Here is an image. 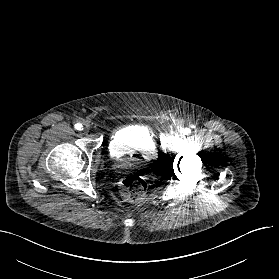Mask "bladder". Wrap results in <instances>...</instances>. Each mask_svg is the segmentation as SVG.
<instances>
[{"label": "bladder", "mask_w": 279, "mask_h": 279, "mask_svg": "<svg viewBox=\"0 0 279 279\" xmlns=\"http://www.w3.org/2000/svg\"><path fill=\"white\" fill-rule=\"evenodd\" d=\"M108 150L125 168L146 166L158 156L153 133L142 124H130L115 130L109 138Z\"/></svg>", "instance_id": "1"}]
</instances>
